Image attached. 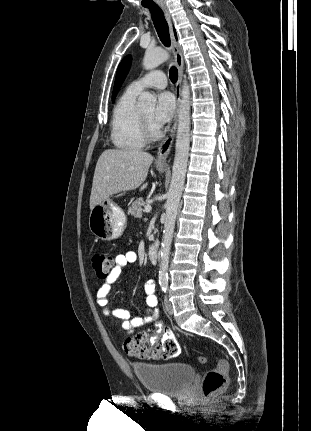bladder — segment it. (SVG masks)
Returning <instances> with one entry per match:
<instances>
[{
    "label": "bladder",
    "instance_id": "bladder-1",
    "mask_svg": "<svg viewBox=\"0 0 311 431\" xmlns=\"http://www.w3.org/2000/svg\"><path fill=\"white\" fill-rule=\"evenodd\" d=\"M132 369L147 391L165 395L183 393L196 374L194 368L187 363H135Z\"/></svg>",
    "mask_w": 311,
    "mask_h": 431
}]
</instances>
